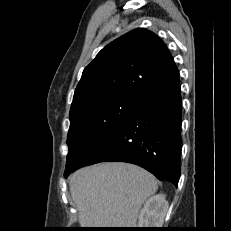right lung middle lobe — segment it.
I'll return each mask as SVG.
<instances>
[{"label":"right lung middle lobe","instance_id":"dd1d6c3e","mask_svg":"<svg viewBox=\"0 0 231 231\" xmlns=\"http://www.w3.org/2000/svg\"><path fill=\"white\" fill-rule=\"evenodd\" d=\"M141 98L112 95L70 112L66 169L75 167L100 142L133 115Z\"/></svg>","mask_w":231,"mask_h":231}]
</instances>
